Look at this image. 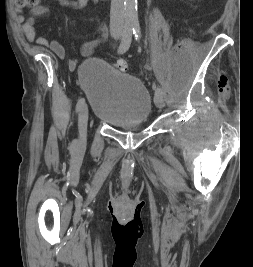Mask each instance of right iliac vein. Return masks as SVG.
<instances>
[{"mask_svg": "<svg viewBox=\"0 0 253 267\" xmlns=\"http://www.w3.org/2000/svg\"><path fill=\"white\" fill-rule=\"evenodd\" d=\"M87 122H88V107L87 105H84L83 108L80 110L78 116L79 141L81 145L86 142Z\"/></svg>", "mask_w": 253, "mask_h": 267, "instance_id": "63e3f726", "label": "right iliac vein"}]
</instances>
